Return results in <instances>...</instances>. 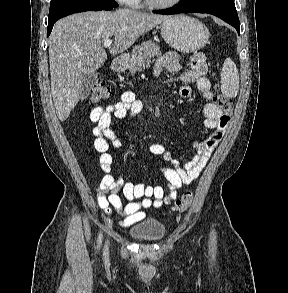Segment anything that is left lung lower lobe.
<instances>
[{
    "instance_id": "left-lung-lower-lobe-1",
    "label": "left lung lower lobe",
    "mask_w": 288,
    "mask_h": 293,
    "mask_svg": "<svg viewBox=\"0 0 288 293\" xmlns=\"http://www.w3.org/2000/svg\"><path fill=\"white\" fill-rule=\"evenodd\" d=\"M208 13L215 15L228 24L232 25L240 34V22L238 19L237 11L229 10L221 6L217 5H197V4H190V3H182L180 2L178 5L165 9V10H158L154 11L157 14H164V15H171V14H178V13Z\"/></svg>"
}]
</instances>
